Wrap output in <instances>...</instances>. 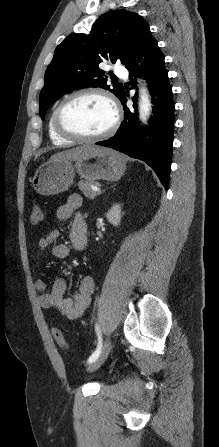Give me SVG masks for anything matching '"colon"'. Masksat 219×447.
Masks as SVG:
<instances>
[{"instance_id":"obj_1","label":"colon","mask_w":219,"mask_h":447,"mask_svg":"<svg viewBox=\"0 0 219 447\" xmlns=\"http://www.w3.org/2000/svg\"><path fill=\"white\" fill-rule=\"evenodd\" d=\"M43 213L39 205H33L31 208L30 222L34 225L39 224L42 221ZM53 337L56 343L63 349H67V343L61 330L54 328Z\"/></svg>"}]
</instances>
